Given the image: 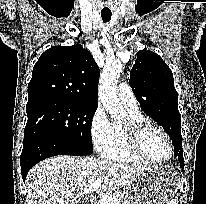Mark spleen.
<instances>
[{"mask_svg": "<svg viewBox=\"0 0 206 204\" xmlns=\"http://www.w3.org/2000/svg\"><path fill=\"white\" fill-rule=\"evenodd\" d=\"M170 204H178V200L176 198L172 199Z\"/></svg>", "mask_w": 206, "mask_h": 204, "instance_id": "spleen-1", "label": "spleen"}]
</instances>
